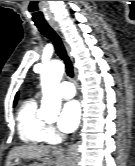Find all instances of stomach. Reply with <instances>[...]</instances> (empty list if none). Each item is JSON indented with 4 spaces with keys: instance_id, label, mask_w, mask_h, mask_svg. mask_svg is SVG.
<instances>
[{
    "instance_id": "stomach-1",
    "label": "stomach",
    "mask_w": 135,
    "mask_h": 166,
    "mask_svg": "<svg viewBox=\"0 0 135 166\" xmlns=\"http://www.w3.org/2000/svg\"><path fill=\"white\" fill-rule=\"evenodd\" d=\"M15 164L14 163H11L9 166H14ZM34 166H40V165H34Z\"/></svg>"
}]
</instances>
